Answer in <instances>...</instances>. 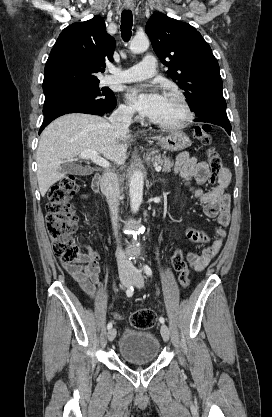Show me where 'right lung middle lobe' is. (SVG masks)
I'll return each mask as SVG.
<instances>
[{
	"label": "right lung middle lobe",
	"instance_id": "right-lung-middle-lobe-1",
	"mask_svg": "<svg viewBox=\"0 0 272 417\" xmlns=\"http://www.w3.org/2000/svg\"><path fill=\"white\" fill-rule=\"evenodd\" d=\"M98 84L67 85L44 91V116L71 103L92 104L98 107L110 105L116 100L114 93L109 88L100 89Z\"/></svg>",
	"mask_w": 272,
	"mask_h": 417
}]
</instances>
